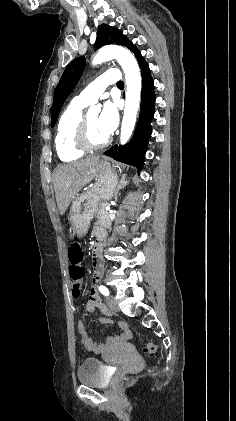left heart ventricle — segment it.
<instances>
[{"mask_svg": "<svg viewBox=\"0 0 236 421\" xmlns=\"http://www.w3.org/2000/svg\"><path fill=\"white\" fill-rule=\"evenodd\" d=\"M99 113L87 115V136L91 143L98 144L107 138L99 124Z\"/></svg>", "mask_w": 236, "mask_h": 421, "instance_id": "obj_1", "label": "left heart ventricle"}]
</instances>
